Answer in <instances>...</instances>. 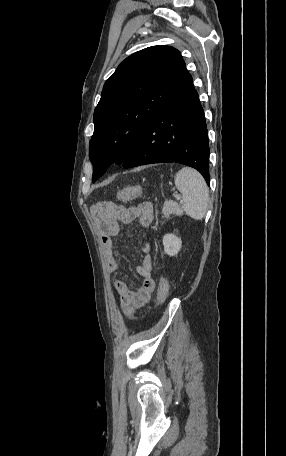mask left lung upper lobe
Here are the masks:
<instances>
[{"label": "left lung upper lobe", "instance_id": "obj_1", "mask_svg": "<svg viewBox=\"0 0 286 456\" xmlns=\"http://www.w3.org/2000/svg\"><path fill=\"white\" fill-rule=\"evenodd\" d=\"M188 71L180 52L158 45L127 57L105 82L94 111L89 157L95 182L112 164H122L140 134Z\"/></svg>", "mask_w": 286, "mask_h": 456}]
</instances>
